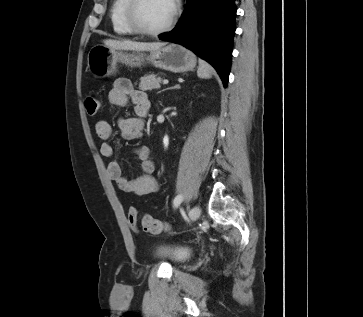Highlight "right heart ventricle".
<instances>
[{
    "label": "right heart ventricle",
    "mask_w": 363,
    "mask_h": 317,
    "mask_svg": "<svg viewBox=\"0 0 363 317\" xmlns=\"http://www.w3.org/2000/svg\"><path fill=\"white\" fill-rule=\"evenodd\" d=\"M128 0H113L110 7V21L113 31L122 36L133 35V31L127 26L124 17V9Z\"/></svg>",
    "instance_id": "obj_1"
}]
</instances>
